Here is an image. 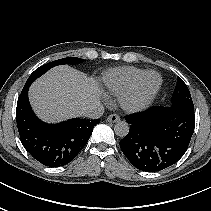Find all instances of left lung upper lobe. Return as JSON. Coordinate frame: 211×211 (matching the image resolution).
Instances as JSON below:
<instances>
[{"instance_id": "left-lung-upper-lobe-1", "label": "left lung upper lobe", "mask_w": 211, "mask_h": 211, "mask_svg": "<svg viewBox=\"0 0 211 211\" xmlns=\"http://www.w3.org/2000/svg\"><path fill=\"white\" fill-rule=\"evenodd\" d=\"M171 107H184L194 111V105L189 89L179 77H177V85L172 95Z\"/></svg>"}]
</instances>
